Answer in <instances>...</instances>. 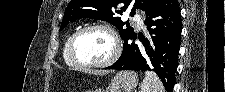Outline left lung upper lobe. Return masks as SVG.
<instances>
[{"instance_id": "obj_1", "label": "left lung upper lobe", "mask_w": 225, "mask_h": 92, "mask_svg": "<svg viewBox=\"0 0 225 92\" xmlns=\"http://www.w3.org/2000/svg\"><path fill=\"white\" fill-rule=\"evenodd\" d=\"M163 0H71L64 14L60 31L69 22L80 18H91L107 21L117 27L121 38L125 41L132 38L134 31L129 25L124 29L120 17L115 13L122 14L128 6H132L130 16H134L135 10L140 9L146 13L160 4ZM122 4H124L123 7Z\"/></svg>"}]
</instances>
